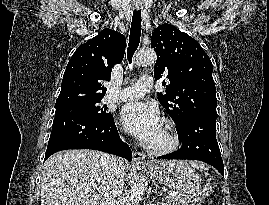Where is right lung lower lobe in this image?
I'll list each match as a JSON object with an SVG mask.
<instances>
[{"mask_svg": "<svg viewBox=\"0 0 269 205\" xmlns=\"http://www.w3.org/2000/svg\"><path fill=\"white\" fill-rule=\"evenodd\" d=\"M66 149H94L132 160L131 149L121 141L113 118L55 117L45 160L55 152Z\"/></svg>", "mask_w": 269, "mask_h": 205, "instance_id": "1", "label": "right lung lower lobe"}]
</instances>
